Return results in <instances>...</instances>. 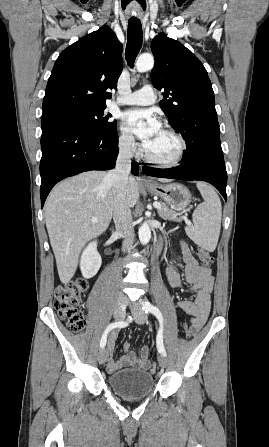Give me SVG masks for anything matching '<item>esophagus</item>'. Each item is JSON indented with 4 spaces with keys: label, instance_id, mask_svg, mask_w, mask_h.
I'll return each mask as SVG.
<instances>
[{
    "label": "esophagus",
    "instance_id": "obj_1",
    "mask_svg": "<svg viewBox=\"0 0 269 447\" xmlns=\"http://www.w3.org/2000/svg\"><path fill=\"white\" fill-rule=\"evenodd\" d=\"M141 183L149 184V183H154V182H153V180L147 179L145 176H142Z\"/></svg>",
    "mask_w": 269,
    "mask_h": 447
}]
</instances>
